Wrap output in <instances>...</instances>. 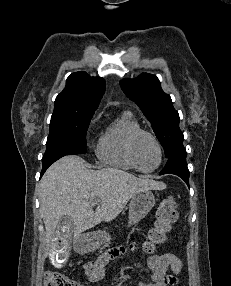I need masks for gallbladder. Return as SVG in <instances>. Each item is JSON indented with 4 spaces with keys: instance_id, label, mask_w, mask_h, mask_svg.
Masks as SVG:
<instances>
[{
    "instance_id": "gallbladder-1",
    "label": "gallbladder",
    "mask_w": 231,
    "mask_h": 286,
    "mask_svg": "<svg viewBox=\"0 0 231 286\" xmlns=\"http://www.w3.org/2000/svg\"><path fill=\"white\" fill-rule=\"evenodd\" d=\"M73 228L74 222L70 213L61 216L58 225H55L56 236L49 241L51 242L49 257L50 263H53L56 268H63L70 257V245L72 244L70 239Z\"/></svg>"
}]
</instances>
